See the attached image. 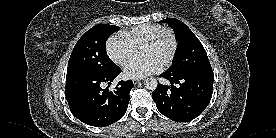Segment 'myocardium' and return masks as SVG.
Returning a JSON list of instances; mask_svg holds the SVG:
<instances>
[{"instance_id": "obj_1", "label": "myocardium", "mask_w": 276, "mask_h": 138, "mask_svg": "<svg viewBox=\"0 0 276 138\" xmlns=\"http://www.w3.org/2000/svg\"><path fill=\"white\" fill-rule=\"evenodd\" d=\"M164 35H168L170 37V39H171V42H172L171 51H170L168 57L162 63L163 67H167L174 60L175 55H176L177 50H178V39H177V35H176V33L174 32L173 29L167 28V27H163L161 30H159L157 33H155L149 40H147L144 43L143 47L154 46V45L158 44L159 41L161 40V38Z\"/></svg>"}]
</instances>
